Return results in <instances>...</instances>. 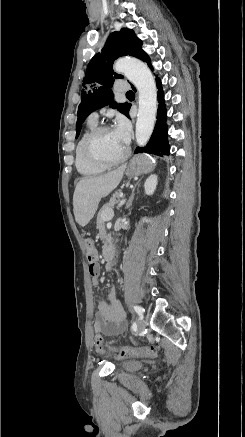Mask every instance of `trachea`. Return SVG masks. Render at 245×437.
<instances>
[{"label":"trachea","instance_id":"1","mask_svg":"<svg viewBox=\"0 0 245 437\" xmlns=\"http://www.w3.org/2000/svg\"><path fill=\"white\" fill-rule=\"evenodd\" d=\"M126 95H134V93H133L132 91H128V92L126 93Z\"/></svg>","mask_w":245,"mask_h":437}]
</instances>
